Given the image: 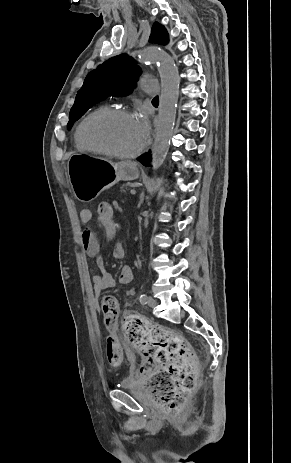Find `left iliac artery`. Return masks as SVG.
<instances>
[{
    "mask_svg": "<svg viewBox=\"0 0 291 463\" xmlns=\"http://www.w3.org/2000/svg\"><path fill=\"white\" fill-rule=\"evenodd\" d=\"M139 300H140L141 304H147L148 296L146 294H141L140 297H139Z\"/></svg>",
    "mask_w": 291,
    "mask_h": 463,
    "instance_id": "obj_1",
    "label": "left iliac artery"
}]
</instances>
